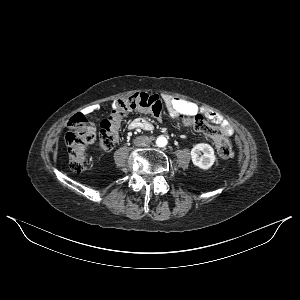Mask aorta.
I'll return each instance as SVG.
<instances>
[{
    "instance_id": "1",
    "label": "aorta",
    "mask_w": 300,
    "mask_h": 300,
    "mask_svg": "<svg viewBox=\"0 0 300 300\" xmlns=\"http://www.w3.org/2000/svg\"><path fill=\"white\" fill-rule=\"evenodd\" d=\"M168 141L166 139V137L164 136H159L157 139H156V145L158 147H165L167 145Z\"/></svg>"
}]
</instances>
